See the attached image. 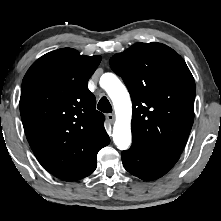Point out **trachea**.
Instances as JSON below:
<instances>
[{
    "instance_id": "trachea-1",
    "label": "trachea",
    "mask_w": 221,
    "mask_h": 221,
    "mask_svg": "<svg viewBox=\"0 0 221 221\" xmlns=\"http://www.w3.org/2000/svg\"><path fill=\"white\" fill-rule=\"evenodd\" d=\"M97 108L104 113H111L112 106L106 97H102L97 105Z\"/></svg>"
}]
</instances>
